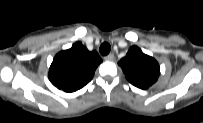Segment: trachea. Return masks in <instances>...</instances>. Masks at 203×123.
Masks as SVG:
<instances>
[{
  "label": "trachea",
  "instance_id": "3493384b",
  "mask_svg": "<svg viewBox=\"0 0 203 123\" xmlns=\"http://www.w3.org/2000/svg\"><path fill=\"white\" fill-rule=\"evenodd\" d=\"M110 50H111V47H110V45H109L108 43H106V42L103 43V44L100 46V49H99L101 55H103V56L108 55L109 52H110Z\"/></svg>",
  "mask_w": 203,
  "mask_h": 123
}]
</instances>
